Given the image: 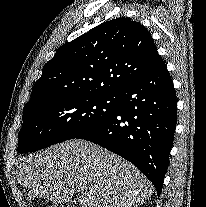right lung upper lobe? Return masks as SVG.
<instances>
[{"label":"right lung upper lobe","instance_id":"1","mask_svg":"<svg viewBox=\"0 0 206 207\" xmlns=\"http://www.w3.org/2000/svg\"><path fill=\"white\" fill-rule=\"evenodd\" d=\"M159 58L141 23L124 17L104 22L57 50L24 110L63 98L117 95Z\"/></svg>","mask_w":206,"mask_h":207}]
</instances>
